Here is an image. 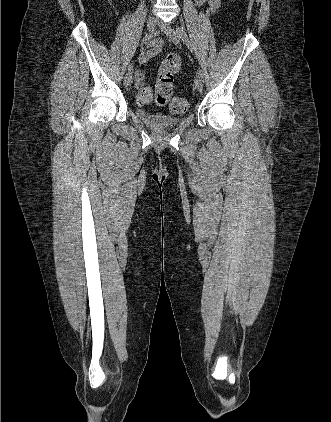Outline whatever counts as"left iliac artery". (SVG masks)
Instances as JSON below:
<instances>
[{"instance_id":"44dca946","label":"left iliac artery","mask_w":331,"mask_h":422,"mask_svg":"<svg viewBox=\"0 0 331 422\" xmlns=\"http://www.w3.org/2000/svg\"><path fill=\"white\" fill-rule=\"evenodd\" d=\"M177 31L179 32L180 38L185 42L188 49L193 52V46H192L184 28L183 27H177ZM198 74H200L203 77V72L200 68L198 69Z\"/></svg>"}]
</instances>
